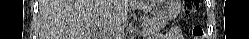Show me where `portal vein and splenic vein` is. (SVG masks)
I'll use <instances>...</instances> for the list:
<instances>
[{
    "label": "portal vein and splenic vein",
    "mask_w": 249,
    "mask_h": 39,
    "mask_svg": "<svg viewBox=\"0 0 249 39\" xmlns=\"http://www.w3.org/2000/svg\"><path fill=\"white\" fill-rule=\"evenodd\" d=\"M95 23V25H97L98 27H103V25L100 23V21H96V22H94Z\"/></svg>",
    "instance_id": "18ae733b"
}]
</instances>
